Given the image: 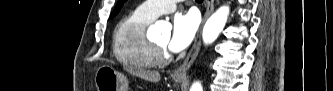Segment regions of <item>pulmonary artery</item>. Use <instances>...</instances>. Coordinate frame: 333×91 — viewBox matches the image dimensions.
Listing matches in <instances>:
<instances>
[{
  "label": "pulmonary artery",
  "mask_w": 333,
  "mask_h": 91,
  "mask_svg": "<svg viewBox=\"0 0 333 91\" xmlns=\"http://www.w3.org/2000/svg\"><path fill=\"white\" fill-rule=\"evenodd\" d=\"M176 9V1H146L137 7V10L144 16L155 19Z\"/></svg>",
  "instance_id": "e3ab8cb5"
}]
</instances>
